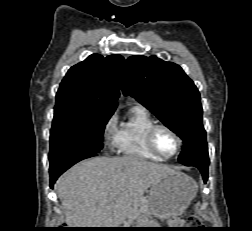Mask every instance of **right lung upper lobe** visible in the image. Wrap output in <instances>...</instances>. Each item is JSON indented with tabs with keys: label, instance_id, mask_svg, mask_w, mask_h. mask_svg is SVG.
Instances as JSON below:
<instances>
[{
	"label": "right lung upper lobe",
	"instance_id": "1",
	"mask_svg": "<svg viewBox=\"0 0 252 231\" xmlns=\"http://www.w3.org/2000/svg\"><path fill=\"white\" fill-rule=\"evenodd\" d=\"M124 59L120 55L92 54L71 67L62 80L56 105L115 111Z\"/></svg>",
	"mask_w": 252,
	"mask_h": 231
}]
</instances>
